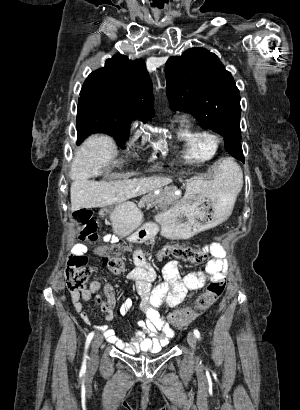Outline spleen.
Instances as JSON below:
<instances>
[{
	"label": "spleen",
	"instance_id": "spleen-1",
	"mask_svg": "<svg viewBox=\"0 0 300 410\" xmlns=\"http://www.w3.org/2000/svg\"><path fill=\"white\" fill-rule=\"evenodd\" d=\"M219 169L223 174L232 173V185L234 187L235 196H237L243 185V174L241 168L230 159H225L219 166Z\"/></svg>",
	"mask_w": 300,
	"mask_h": 410
}]
</instances>
